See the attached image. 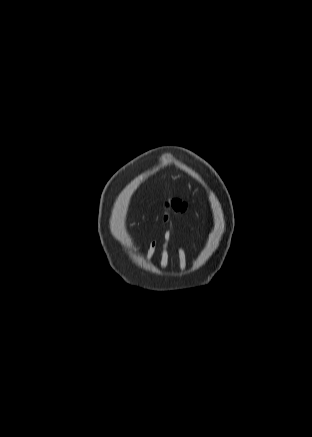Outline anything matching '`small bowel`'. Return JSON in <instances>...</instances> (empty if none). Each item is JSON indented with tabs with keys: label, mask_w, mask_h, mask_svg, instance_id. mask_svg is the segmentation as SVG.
Listing matches in <instances>:
<instances>
[{
	"label": "small bowel",
	"mask_w": 312,
	"mask_h": 437,
	"mask_svg": "<svg viewBox=\"0 0 312 437\" xmlns=\"http://www.w3.org/2000/svg\"><path fill=\"white\" fill-rule=\"evenodd\" d=\"M167 237L169 236V234L166 235ZM157 247V241L156 240H152L150 245H149V254H153L156 250Z\"/></svg>",
	"instance_id": "c3829d8e"
}]
</instances>
